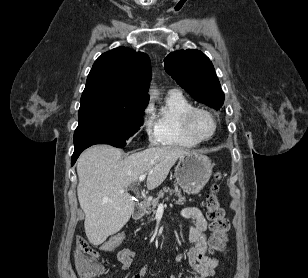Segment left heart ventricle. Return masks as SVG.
I'll return each mask as SVG.
<instances>
[{"label":"left heart ventricle","mask_w":308,"mask_h":278,"mask_svg":"<svg viewBox=\"0 0 308 278\" xmlns=\"http://www.w3.org/2000/svg\"><path fill=\"white\" fill-rule=\"evenodd\" d=\"M191 127L196 135L207 137L213 130V122L207 114L197 112L191 118Z\"/></svg>","instance_id":"obj_1"}]
</instances>
